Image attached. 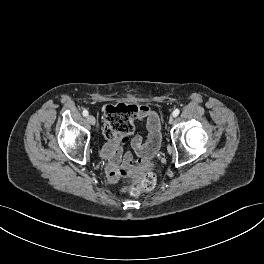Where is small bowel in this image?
I'll return each mask as SVG.
<instances>
[{
  "label": "small bowel",
  "mask_w": 264,
  "mask_h": 264,
  "mask_svg": "<svg viewBox=\"0 0 264 264\" xmlns=\"http://www.w3.org/2000/svg\"><path fill=\"white\" fill-rule=\"evenodd\" d=\"M137 107L136 119L139 122H145L148 131L146 141L141 136H135L130 140L129 135H115L108 138L109 141L101 150L103 158L109 161L107 167L108 177L111 182H116L118 175L126 169L134 167L130 153H123V146L130 141L134 152L142 159L152 157L160 148L161 132L160 120L158 114L147 105H139ZM107 122L104 123V128ZM122 165V169H120Z\"/></svg>",
  "instance_id": "small-bowel-1"
}]
</instances>
